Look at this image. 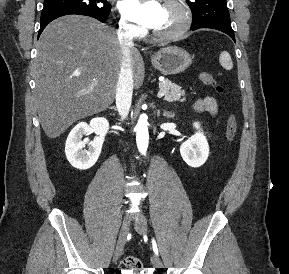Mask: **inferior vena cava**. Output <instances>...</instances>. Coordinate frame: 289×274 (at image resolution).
I'll return each instance as SVG.
<instances>
[{"label":"inferior vena cava","instance_id":"602c4592","mask_svg":"<svg viewBox=\"0 0 289 274\" xmlns=\"http://www.w3.org/2000/svg\"><path fill=\"white\" fill-rule=\"evenodd\" d=\"M117 35L122 47L123 57L115 98L118 113L124 119L130 110L133 93V71L130 57V48L134 46L133 30L129 26L121 25Z\"/></svg>","mask_w":289,"mask_h":274}]
</instances>
